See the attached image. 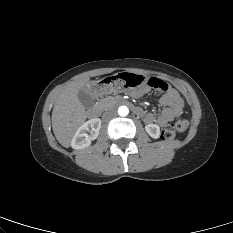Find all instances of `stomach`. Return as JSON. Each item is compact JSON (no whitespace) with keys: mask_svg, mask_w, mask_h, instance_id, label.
Returning a JSON list of instances; mask_svg holds the SVG:
<instances>
[{"mask_svg":"<svg viewBox=\"0 0 233 233\" xmlns=\"http://www.w3.org/2000/svg\"><path fill=\"white\" fill-rule=\"evenodd\" d=\"M148 80L143 74H135L133 72H124L122 74H109L103 82L92 83L95 95L102 96L111 92L122 90H131L139 84H144Z\"/></svg>","mask_w":233,"mask_h":233,"instance_id":"0dacf381","label":"stomach"}]
</instances>
